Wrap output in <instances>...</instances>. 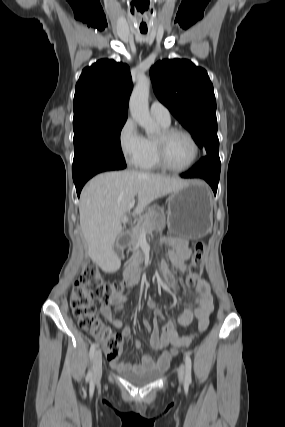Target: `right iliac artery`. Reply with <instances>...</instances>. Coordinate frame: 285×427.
Masks as SVG:
<instances>
[{"mask_svg":"<svg viewBox=\"0 0 285 427\" xmlns=\"http://www.w3.org/2000/svg\"><path fill=\"white\" fill-rule=\"evenodd\" d=\"M95 350H96V344H95V343H93V344L91 345V347H90V359H91V360H92V358H93V356H94ZM86 380H87V381H88V380H90V382H92V381H93V375H92V371H91V370H89V372H88V374H87V377H86Z\"/></svg>","mask_w":285,"mask_h":427,"instance_id":"right-iliac-artery-1","label":"right iliac artery"}]
</instances>
